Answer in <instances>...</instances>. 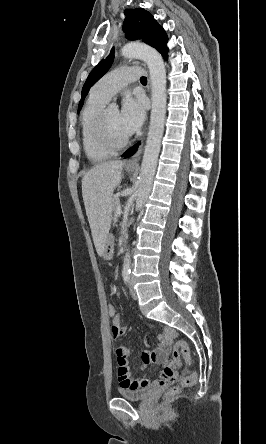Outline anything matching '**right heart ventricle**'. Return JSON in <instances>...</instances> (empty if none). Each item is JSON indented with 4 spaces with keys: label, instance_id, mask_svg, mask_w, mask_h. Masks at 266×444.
I'll return each mask as SVG.
<instances>
[{
    "label": "right heart ventricle",
    "instance_id": "obj_1",
    "mask_svg": "<svg viewBox=\"0 0 266 444\" xmlns=\"http://www.w3.org/2000/svg\"><path fill=\"white\" fill-rule=\"evenodd\" d=\"M107 100L91 93L81 115V140L85 154L90 160L102 161L112 156L113 151L102 148L94 138V126Z\"/></svg>",
    "mask_w": 266,
    "mask_h": 444
}]
</instances>
